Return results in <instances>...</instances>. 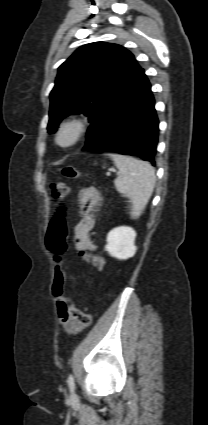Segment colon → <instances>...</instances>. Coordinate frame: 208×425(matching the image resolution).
Returning a JSON list of instances; mask_svg holds the SVG:
<instances>
[{
    "label": "colon",
    "instance_id": "colon-1",
    "mask_svg": "<svg viewBox=\"0 0 208 425\" xmlns=\"http://www.w3.org/2000/svg\"><path fill=\"white\" fill-rule=\"evenodd\" d=\"M62 175L67 179H78L80 177L79 171L73 166H64L61 168ZM51 191L56 199L64 198L69 188L63 182H53L51 184ZM65 206H60L54 217L52 218L47 236L46 243L50 251H52L56 257L57 267L55 275L52 281L51 290L53 296L57 298H64L68 303V312L74 322L82 328L89 326L92 322V315L89 312L78 310L65 295L64 292V280L66 276L65 268L62 266L60 256L64 254L67 249L66 237H67V226L65 215ZM77 248V247H76ZM78 255L84 261L92 264L98 270H103L105 267V261L100 256L89 254L84 248H77Z\"/></svg>",
    "mask_w": 208,
    "mask_h": 425
}]
</instances>
